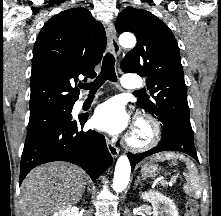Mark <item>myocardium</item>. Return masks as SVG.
<instances>
[{"mask_svg":"<svg viewBox=\"0 0 221 216\" xmlns=\"http://www.w3.org/2000/svg\"><path fill=\"white\" fill-rule=\"evenodd\" d=\"M141 126L145 130V136L136 140L133 137V130ZM161 137V126L158 120L150 114L140 113L137 115L133 129L126 140L127 146L136 151L146 150L156 145Z\"/></svg>","mask_w":221,"mask_h":216,"instance_id":"myocardium-1","label":"myocardium"}]
</instances>
